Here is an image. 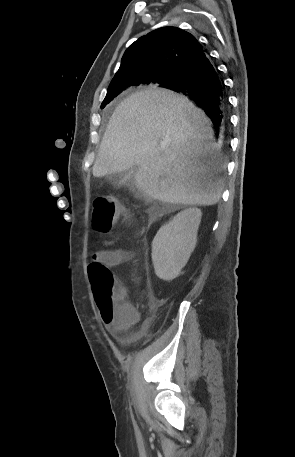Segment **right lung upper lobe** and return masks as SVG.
<instances>
[{"instance_id":"right-lung-upper-lobe-1","label":"right lung upper lobe","mask_w":295,"mask_h":457,"mask_svg":"<svg viewBox=\"0 0 295 457\" xmlns=\"http://www.w3.org/2000/svg\"><path fill=\"white\" fill-rule=\"evenodd\" d=\"M203 52L197 39L180 28L168 26L156 29L127 48L109 87L118 84L161 87Z\"/></svg>"}]
</instances>
